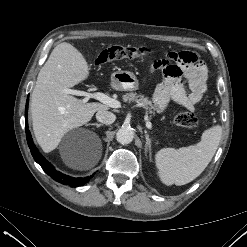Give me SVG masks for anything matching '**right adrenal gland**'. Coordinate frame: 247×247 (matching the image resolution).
Listing matches in <instances>:
<instances>
[{"label": "right adrenal gland", "mask_w": 247, "mask_h": 247, "mask_svg": "<svg viewBox=\"0 0 247 247\" xmlns=\"http://www.w3.org/2000/svg\"><path fill=\"white\" fill-rule=\"evenodd\" d=\"M88 125H94L96 126L97 128H99L100 126H103V124H100V123H90Z\"/></svg>", "instance_id": "obj_1"}]
</instances>
